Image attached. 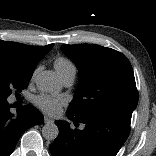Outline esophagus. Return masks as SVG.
Masks as SVG:
<instances>
[{
  "label": "esophagus",
  "mask_w": 156,
  "mask_h": 156,
  "mask_svg": "<svg viewBox=\"0 0 156 156\" xmlns=\"http://www.w3.org/2000/svg\"><path fill=\"white\" fill-rule=\"evenodd\" d=\"M44 122L46 124H49V123H52L53 122V119H51L50 117H48L47 115H44Z\"/></svg>",
  "instance_id": "34e87169"
}]
</instances>
